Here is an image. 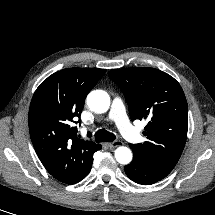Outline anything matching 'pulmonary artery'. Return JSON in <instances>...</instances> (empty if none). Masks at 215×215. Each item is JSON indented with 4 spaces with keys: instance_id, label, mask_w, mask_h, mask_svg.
Returning <instances> with one entry per match:
<instances>
[{
    "instance_id": "e3ab8cb5",
    "label": "pulmonary artery",
    "mask_w": 215,
    "mask_h": 215,
    "mask_svg": "<svg viewBox=\"0 0 215 215\" xmlns=\"http://www.w3.org/2000/svg\"><path fill=\"white\" fill-rule=\"evenodd\" d=\"M108 119L115 122L122 135L129 141L138 142L140 140L141 136L129 122L124 104L120 98L113 99Z\"/></svg>"
}]
</instances>
